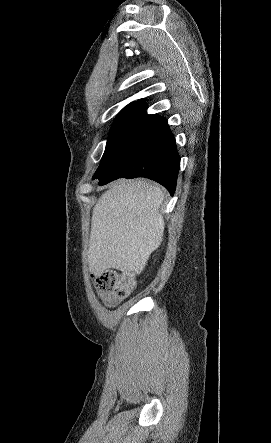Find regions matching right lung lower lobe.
<instances>
[{
	"mask_svg": "<svg viewBox=\"0 0 271 443\" xmlns=\"http://www.w3.org/2000/svg\"><path fill=\"white\" fill-rule=\"evenodd\" d=\"M179 167L180 156L166 119L146 114L124 140L115 159L93 179L104 185L118 178L146 177L173 195Z\"/></svg>",
	"mask_w": 271,
	"mask_h": 443,
	"instance_id": "obj_1",
	"label": "right lung lower lobe"
}]
</instances>
